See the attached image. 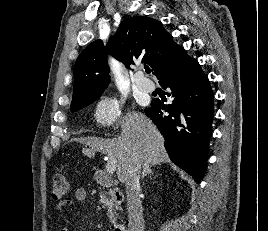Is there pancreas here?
Here are the masks:
<instances>
[{
  "label": "pancreas",
  "instance_id": "cf45deb5",
  "mask_svg": "<svg viewBox=\"0 0 268 231\" xmlns=\"http://www.w3.org/2000/svg\"><path fill=\"white\" fill-rule=\"evenodd\" d=\"M100 203L104 209H107V216L110 222L114 223L117 220V210L120 202L115 198L114 191H103L100 194Z\"/></svg>",
  "mask_w": 268,
  "mask_h": 231
}]
</instances>
